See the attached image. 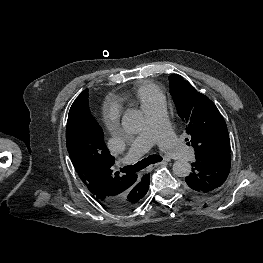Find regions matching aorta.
Instances as JSON below:
<instances>
[{
	"instance_id": "obj_1",
	"label": "aorta",
	"mask_w": 263,
	"mask_h": 263,
	"mask_svg": "<svg viewBox=\"0 0 263 263\" xmlns=\"http://www.w3.org/2000/svg\"><path fill=\"white\" fill-rule=\"evenodd\" d=\"M144 126V117L141 113L128 110L122 117V127L127 134H138ZM173 172L178 177H187L191 172V165L186 160H177L173 164Z\"/></svg>"
}]
</instances>
